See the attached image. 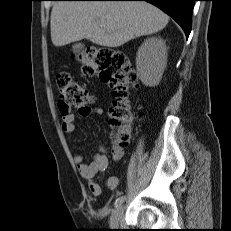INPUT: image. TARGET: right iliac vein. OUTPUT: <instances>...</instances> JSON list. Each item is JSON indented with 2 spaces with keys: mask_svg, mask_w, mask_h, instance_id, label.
<instances>
[{
  "mask_svg": "<svg viewBox=\"0 0 231 231\" xmlns=\"http://www.w3.org/2000/svg\"><path fill=\"white\" fill-rule=\"evenodd\" d=\"M123 212H124L123 205H119L118 207H116L110 218L111 228H117L119 226V221L123 215Z\"/></svg>",
  "mask_w": 231,
  "mask_h": 231,
  "instance_id": "1",
  "label": "right iliac vein"
}]
</instances>
